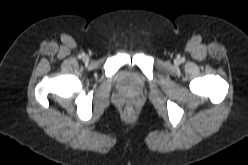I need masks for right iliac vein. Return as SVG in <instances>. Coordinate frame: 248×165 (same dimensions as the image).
I'll use <instances>...</instances> for the list:
<instances>
[{
    "label": "right iliac vein",
    "mask_w": 248,
    "mask_h": 165,
    "mask_svg": "<svg viewBox=\"0 0 248 165\" xmlns=\"http://www.w3.org/2000/svg\"><path fill=\"white\" fill-rule=\"evenodd\" d=\"M88 59H89L88 56H83V61L86 62V61H88Z\"/></svg>",
    "instance_id": "63e3f726"
}]
</instances>
